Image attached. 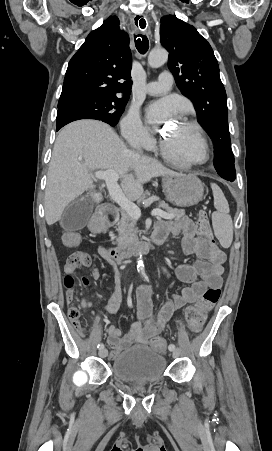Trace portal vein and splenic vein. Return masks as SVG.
Returning a JSON list of instances; mask_svg holds the SVG:
<instances>
[{
  "instance_id": "1",
  "label": "portal vein and splenic vein",
  "mask_w": 272,
  "mask_h": 451,
  "mask_svg": "<svg viewBox=\"0 0 272 451\" xmlns=\"http://www.w3.org/2000/svg\"><path fill=\"white\" fill-rule=\"evenodd\" d=\"M78 160H82V158H78ZM94 176L97 180H105L112 200H114V202H116V204H118L124 212H127L133 220H139L141 210L138 206H136V204H133V202H130V200L124 196L120 186L117 184L119 180L118 172H115V170H105V172L99 170V172H95ZM151 216H156V218H164V220H172L171 214H166L163 210H152Z\"/></svg>"
}]
</instances>
